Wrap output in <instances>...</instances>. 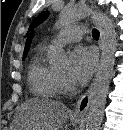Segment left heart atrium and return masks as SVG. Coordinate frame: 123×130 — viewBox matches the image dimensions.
Here are the masks:
<instances>
[{"instance_id": "39dd6f15", "label": "left heart atrium", "mask_w": 123, "mask_h": 130, "mask_svg": "<svg viewBox=\"0 0 123 130\" xmlns=\"http://www.w3.org/2000/svg\"><path fill=\"white\" fill-rule=\"evenodd\" d=\"M96 53L87 47H77L71 55L69 75L73 82H86L96 68Z\"/></svg>"}]
</instances>
